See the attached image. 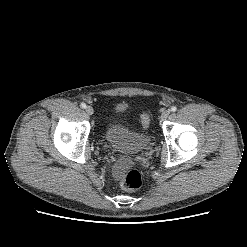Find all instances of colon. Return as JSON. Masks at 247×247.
Masks as SVG:
<instances>
[{"mask_svg": "<svg viewBox=\"0 0 247 247\" xmlns=\"http://www.w3.org/2000/svg\"><path fill=\"white\" fill-rule=\"evenodd\" d=\"M141 122L144 127H147L149 124V118L147 114H142ZM142 185V175L136 170H130L121 180V187L127 191H134L140 188Z\"/></svg>", "mask_w": 247, "mask_h": 247, "instance_id": "colon-1", "label": "colon"}]
</instances>
